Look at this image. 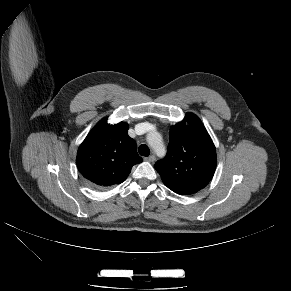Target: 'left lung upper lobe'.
<instances>
[{
	"label": "left lung upper lobe",
	"mask_w": 291,
	"mask_h": 291,
	"mask_svg": "<svg viewBox=\"0 0 291 291\" xmlns=\"http://www.w3.org/2000/svg\"><path fill=\"white\" fill-rule=\"evenodd\" d=\"M217 163L216 149L201 120L188 113L170 129L167 155L155 164L162 181L198 192L212 179Z\"/></svg>",
	"instance_id": "left-lung-upper-lobe-1"
}]
</instances>
